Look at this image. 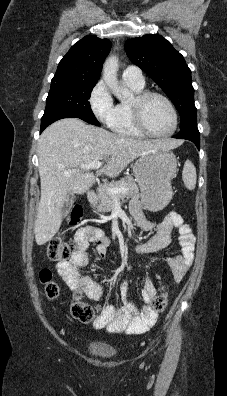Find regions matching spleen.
<instances>
[{
    "mask_svg": "<svg viewBox=\"0 0 227 396\" xmlns=\"http://www.w3.org/2000/svg\"><path fill=\"white\" fill-rule=\"evenodd\" d=\"M182 179L187 189H195L197 179L196 168L190 160H186L184 164Z\"/></svg>",
    "mask_w": 227,
    "mask_h": 396,
    "instance_id": "obj_1",
    "label": "spleen"
}]
</instances>
